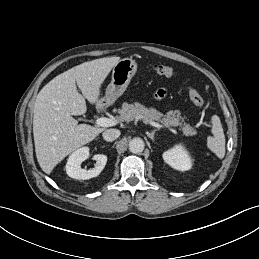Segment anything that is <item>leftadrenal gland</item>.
<instances>
[{"mask_svg": "<svg viewBox=\"0 0 259 259\" xmlns=\"http://www.w3.org/2000/svg\"><path fill=\"white\" fill-rule=\"evenodd\" d=\"M157 131V129L153 130L151 133L147 132V136L152 139V141H154V135H155V132Z\"/></svg>", "mask_w": 259, "mask_h": 259, "instance_id": "a2214340", "label": "left adrenal gland"}]
</instances>
